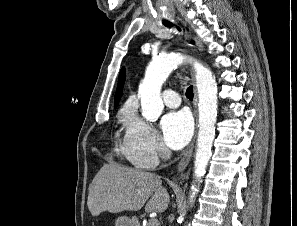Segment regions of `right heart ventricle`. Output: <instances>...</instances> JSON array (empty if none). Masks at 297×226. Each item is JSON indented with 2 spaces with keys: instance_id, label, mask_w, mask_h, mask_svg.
Returning <instances> with one entry per match:
<instances>
[{
  "instance_id": "1",
  "label": "right heart ventricle",
  "mask_w": 297,
  "mask_h": 226,
  "mask_svg": "<svg viewBox=\"0 0 297 226\" xmlns=\"http://www.w3.org/2000/svg\"><path fill=\"white\" fill-rule=\"evenodd\" d=\"M129 115H130V112H124V113L121 115V121H123L124 123H126V121H127L128 118H129Z\"/></svg>"
}]
</instances>
